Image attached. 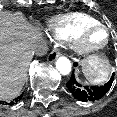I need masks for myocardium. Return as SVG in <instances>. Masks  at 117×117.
Instances as JSON below:
<instances>
[{"label":"myocardium","instance_id":"1","mask_svg":"<svg viewBox=\"0 0 117 117\" xmlns=\"http://www.w3.org/2000/svg\"><path fill=\"white\" fill-rule=\"evenodd\" d=\"M102 30L105 33V39L100 44H90L87 42V36L94 30ZM110 41V31L102 23L90 24L83 28L72 38V48L78 55H88L97 52L108 45Z\"/></svg>","mask_w":117,"mask_h":117}]
</instances>
